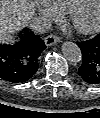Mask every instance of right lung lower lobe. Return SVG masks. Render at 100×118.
I'll return each instance as SVG.
<instances>
[{
  "label": "right lung lower lobe",
  "instance_id": "1",
  "mask_svg": "<svg viewBox=\"0 0 100 118\" xmlns=\"http://www.w3.org/2000/svg\"><path fill=\"white\" fill-rule=\"evenodd\" d=\"M46 48L38 35L27 32L14 45L0 46V77L12 83L31 79L38 70L41 52Z\"/></svg>",
  "mask_w": 100,
  "mask_h": 118
}]
</instances>
